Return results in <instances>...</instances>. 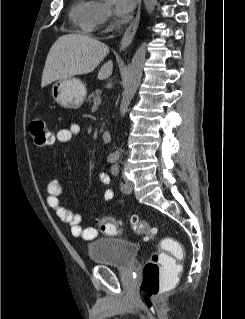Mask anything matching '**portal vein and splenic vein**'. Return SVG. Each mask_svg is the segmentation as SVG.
Segmentation results:
<instances>
[{"instance_id": "18ae733b", "label": "portal vein and splenic vein", "mask_w": 245, "mask_h": 319, "mask_svg": "<svg viewBox=\"0 0 245 319\" xmlns=\"http://www.w3.org/2000/svg\"><path fill=\"white\" fill-rule=\"evenodd\" d=\"M100 104H101V97L98 96L97 98L94 99V101H93V106H94V107H97V106H99Z\"/></svg>"}]
</instances>
